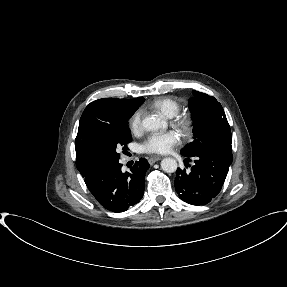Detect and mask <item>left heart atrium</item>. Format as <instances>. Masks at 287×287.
<instances>
[{"mask_svg":"<svg viewBox=\"0 0 287 287\" xmlns=\"http://www.w3.org/2000/svg\"><path fill=\"white\" fill-rule=\"evenodd\" d=\"M180 140V134L175 130L155 132L146 138L142 143L141 148L146 153L165 154L170 152Z\"/></svg>","mask_w":287,"mask_h":287,"instance_id":"1","label":"left heart atrium"}]
</instances>
